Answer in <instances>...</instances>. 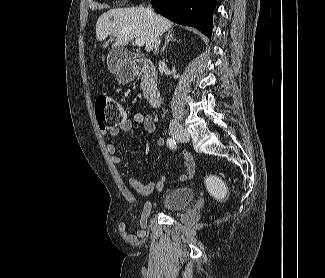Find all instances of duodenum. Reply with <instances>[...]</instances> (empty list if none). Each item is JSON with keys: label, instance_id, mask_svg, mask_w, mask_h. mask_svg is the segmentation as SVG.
Here are the masks:
<instances>
[{"label": "duodenum", "instance_id": "obj_1", "mask_svg": "<svg viewBox=\"0 0 325 278\" xmlns=\"http://www.w3.org/2000/svg\"><path fill=\"white\" fill-rule=\"evenodd\" d=\"M134 75L143 80L145 97L148 105L156 108L161 103V94L157 87L156 71L147 59L139 58L134 61Z\"/></svg>", "mask_w": 325, "mask_h": 278}]
</instances>
